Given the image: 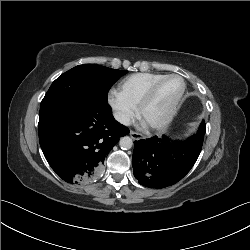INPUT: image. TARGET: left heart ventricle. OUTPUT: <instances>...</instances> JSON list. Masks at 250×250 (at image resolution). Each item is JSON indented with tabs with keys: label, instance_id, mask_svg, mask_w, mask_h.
Segmentation results:
<instances>
[{
	"label": "left heart ventricle",
	"instance_id": "left-heart-ventricle-1",
	"mask_svg": "<svg viewBox=\"0 0 250 250\" xmlns=\"http://www.w3.org/2000/svg\"><path fill=\"white\" fill-rule=\"evenodd\" d=\"M181 88L182 82L177 78L165 81L157 90L151 103L147 106L144 112V121L152 123L162 119L180 93Z\"/></svg>",
	"mask_w": 250,
	"mask_h": 250
}]
</instances>
